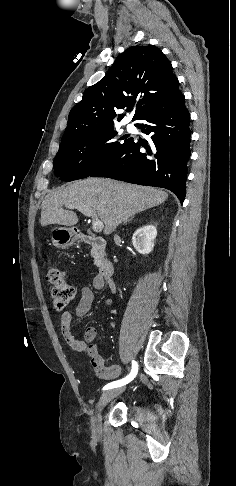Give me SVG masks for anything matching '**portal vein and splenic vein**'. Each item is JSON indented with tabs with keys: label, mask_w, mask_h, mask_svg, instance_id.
Segmentation results:
<instances>
[{
	"label": "portal vein and splenic vein",
	"mask_w": 236,
	"mask_h": 486,
	"mask_svg": "<svg viewBox=\"0 0 236 486\" xmlns=\"http://www.w3.org/2000/svg\"><path fill=\"white\" fill-rule=\"evenodd\" d=\"M66 208L72 209L71 206H65ZM78 210L85 216L92 218V229L94 232H100L104 228V224L99 220L96 211L92 208H78Z\"/></svg>",
	"instance_id": "18ae733b"
}]
</instances>
